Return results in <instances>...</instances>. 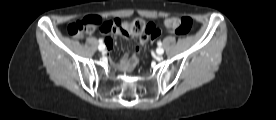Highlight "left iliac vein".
Segmentation results:
<instances>
[{
	"label": "left iliac vein",
	"mask_w": 276,
	"mask_h": 120,
	"mask_svg": "<svg viewBox=\"0 0 276 120\" xmlns=\"http://www.w3.org/2000/svg\"><path fill=\"white\" fill-rule=\"evenodd\" d=\"M156 52L158 55H162L164 53V50H163V48L159 47V48H157Z\"/></svg>",
	"instance_id": "1"
}]
</instances>
